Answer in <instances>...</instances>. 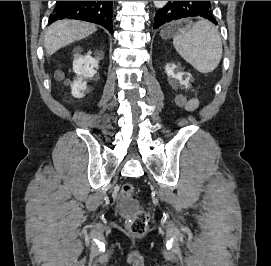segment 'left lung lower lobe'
I'll return each mask as SVG.
<instances>
[{
  "instance_id": "1",
  "label": "left lung lower lobe",
  "mask_w": 271,
  "mask_h": 266,
  "mask_svg": "<svg viewBox=\"0 0 271 266\" xmlns=\"http://www.w3.org/2000/svg\"><path fill=\"white\" fill-rule=\"evenodd\" d=\"M201 17L217 24L211 1H168L155 15L154 27L185 17Z\"/></svg>"
}]
</instances>
